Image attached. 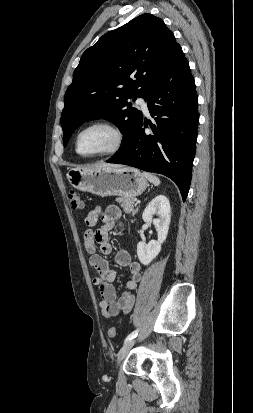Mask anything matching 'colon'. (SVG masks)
I'll use <instances>...</instances> for the list:
<instances>
[{
    "label": "colon",
    "instance_id": "1",
    "mask_svg": "<svg viewBox=\"0 0 253 413\" xmlns=\"http://www.w3.org/2000/svg\"><path fill=\"white\" fill-rule=\"evenodd\" d=\"M68 198H69L70 204L73 209L80 210L84 207L82 198L79 196V194L74 189L69 190ZM116 333H117V330L114 326L109 327L107 330V334L111 338L115 337Z\"/></svg>",
    "mask_w": 253,
    "mask_h": 413
}]
</instances>
